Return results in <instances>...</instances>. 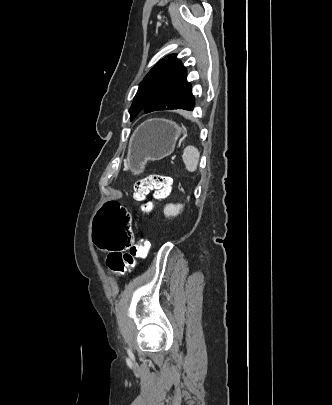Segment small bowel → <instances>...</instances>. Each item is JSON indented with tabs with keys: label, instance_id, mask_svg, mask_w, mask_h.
<instances>
[{
	"label": "small bowel",
	"instance_id": "small-bowel-1",
	"mask_svg": "<svg viewBox=\"0 0 332 405\" xmlns=\"http://www.w3.org/2000/svg\"><path fill=\"white\" fill-rule=\"evenodd\" d=\"M115 255H116V254H115ZM110 258H111V257H108V259H107V263H108V265H109V260H110Z\"/></svg>",
	"mask_w": 332,
	"mask_h": 405
}]
</instances>
